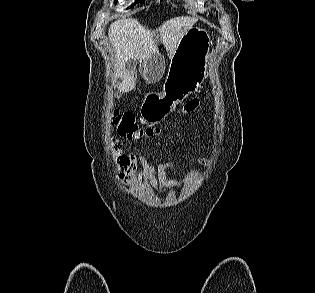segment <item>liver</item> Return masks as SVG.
Segmentation results:
<instances>
[{"mask_svg": "<svg viewBox=\"0 0 315 293\" xmlns=\"http://www.w3.org/2000/svg\"><path fill=\"white\" fill-rule=\"evenodd\" d=\"M197 22L196 18L179 16L165 21L156 30H149L133 18L113 22L109 28V39L115 54V69L120 77L118 89L129 92L135 87L134 77L125 69L133 60H148L158 52L159 41L171 58L184 33Z\"/></svg>", "mask_w": 315, "mask_h": 293, "instance_id": "6515ba94", "label": "liver"}]
</instances>
